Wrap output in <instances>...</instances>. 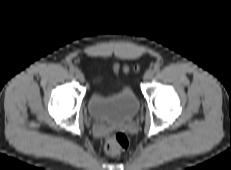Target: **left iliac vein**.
<instances>
[{"label": "left iliac vein", "mask_w": 231, "mask_h": 170, "mask_svg": "<svg viewBox=\"0 0 231 170\" xmlns=\"http://www.w3.org/2000/svg\"><path fill=\"white\" fill-rule=\"evenodd\" d=\"M153 76H154V71L150 69L144 74L143 79H144V81L147 82V81L151 80L153 78Z\"/></svg>", "instance_id": "left-iliac-vein-1"}]
</instances>
